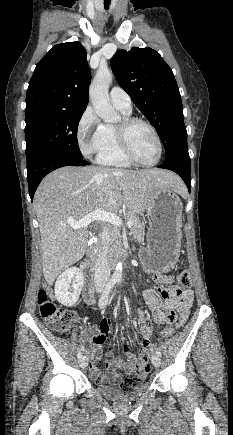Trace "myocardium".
<instances>
[{"mask_svg": "<svg viewBox=\"0 0 233 435\" xmlns=\"http://www.w3.org/2000/svg\"><path fill=\"white\" fill-rule=\"evenodd\" d=\"M137 123L143 124L146 127H148L156 141L158 156L157 159L152 163H143L139 161L130 146L128 133L131 127ZM115 132L122 153L124 154L126 159H128L132 164L140 167L151 168L156 166L161 160L162 153H163L162 142L156 128L149 121L139 117L125 116L115 126Z\"/></svg>", "mask_w": 233, "mask_h": 435, "instance_id": "obj_1", "label": "myocardium"}]
</instances>
